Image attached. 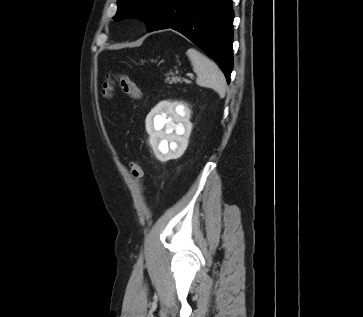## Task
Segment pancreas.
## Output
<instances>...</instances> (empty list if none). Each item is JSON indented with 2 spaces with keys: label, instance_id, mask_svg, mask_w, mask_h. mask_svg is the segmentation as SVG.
Masks as SVG:
<instances>
[{
  "label": "pancreas",
  "instance_id": "1",
  "mask_svg": "<svg viewBox=\"0 0 363 317\" xmlns=\"http://www.w3.org/2000/svg\"><path fill=\"white\" fill-rule=\"evenodd\" d=\"M166 81H169L170 84L182 82V80L179 77H172L171 79L167 78ZM183 81L187 82L186 80H183Z\"/></svg>",
  "mask_w": 363,
  "mask_h": 317
}]
</instances>
